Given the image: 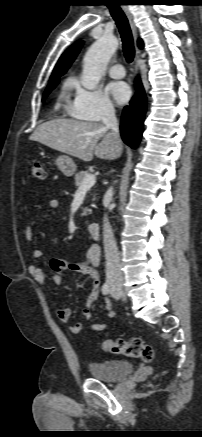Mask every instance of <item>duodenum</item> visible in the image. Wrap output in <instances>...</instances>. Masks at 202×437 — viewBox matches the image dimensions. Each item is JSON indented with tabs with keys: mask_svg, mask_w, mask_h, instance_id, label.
Segmentation results:
<instances>
[{
	"mask_svg": "<svg viewBox=\"0 0 202 437\" xmlns=\"http://www.w3.org/2000/svg\"><path fill=\"white\" fill-rule=\"evenodd\" d=\"M88 233L91 238L98 239L100 235V226L98 223H90L87 227Z\"/></svg>",
	"mask_w": 202,
	"mask_h": 437,
	"instance_id": "obj_1",
	"label": "duodenum"
}]
</instances>
